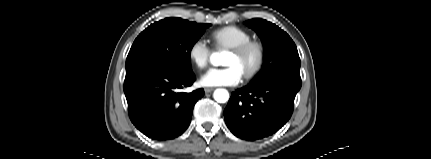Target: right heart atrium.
<instances>
[{
	"mask_svg": "<svg viewBox=\"0 0 431 159\" xmlns=\"http://www.w3.org/2000/svg\"><path fill=\"white\" fill-rule=\"evenodd\" d=\"M211 48L203 38L194 40L188 48L190 61L198 68H204L209 62Z\"/></svg>",
	"mask_w": 431,
	"mask_h": 159,
	"instance_id": "1",
	"label": "right heart atrium"
}]
</instances>
